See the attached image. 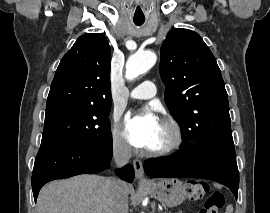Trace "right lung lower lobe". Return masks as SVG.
Masks as SVG:
<instances>
[{
    "label": "right lung lower lobe",
    "instance_id": "obj_1",
    "mask_svg": "<svg viewBox=\"0 0 270 213\" xmlns=\"http://www.w3.org/2000/svg\"><path fill=\"white\" fill-rule=\"evenodd\" d=\"M112 152L111 136L98 142L41 145L32 173L35 202L41 187L49 181L79 174H94L108 168ZM118 173L127 182H132L134 178V170L130 165H126Z\"/></svg>",
    "mask_w": 270,
    "mask_h": 213
}]
</instances>
